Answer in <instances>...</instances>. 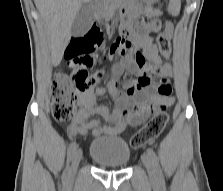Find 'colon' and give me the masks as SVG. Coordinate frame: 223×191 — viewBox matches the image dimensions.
I'll return each instance as SVG.
<instances>
[{"mask_svg":"<svg viewBox=\"0 0 223 191\" xmlns=\"http://www.w3.org/2000/svg\"><path fill=\"white\" fill-rule=\"evenodd\" d=\"M173 24L166 22L165 30L157 37V45L161 55L167 62L159 65L147 62L138 52L134 51L132 43L125 36L115 39L110 47L109 55L116 56L128 53L132 55L138 66L137 85L146 86L150 83L151 76L170 78L173 69L171 51V37ZM104 34L97 28H92L83 35L74 37L65 50V58L71 74L58 73L51 88L52 115L57 121H68L76 115V94H84L104 77V72L90 74L96 58L95 51L102 45ZM168 121V114L158 110L156 114L141 129L134 133L130 139L132 148H143L156 138L164 129Z\"/></svg>","mask_w":223,"mask_h":191,"instance_id":"1","label":"colon"}]
</instances>
